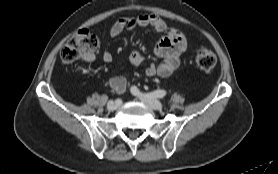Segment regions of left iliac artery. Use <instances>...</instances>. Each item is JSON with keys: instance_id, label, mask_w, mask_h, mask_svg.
Masks as SVG:
<instances>
[{"instance_id": "obj_1", "label": "left iliac artery", "mask_w": 278, "mask_h": 174, "mask_svg": "<svg viewBox=\"0 0 278 174\" xmlns=\"http://www.w3.org/2000/svg\"><path fill=\"white\" fill-rule=\"evenodd\" d=\"M131 92L134 95H137L139 97H144V98H149V99L163 98L166 95L165 90H155L150 93H142L136 86L131 87Z\"/></svg>"}]
</instances>
